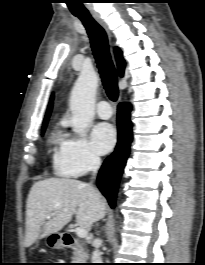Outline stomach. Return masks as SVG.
I'll return each mask as SVG.
<instances>
[{
  "label": "stomach",
  "instance_id": "obj_1",
  "mask_svg": "<svg viewBox=\"0 0 205 265\" xmlns=\"http://www.w3.org/2000/svg\"><path fill=\"white\" fill-rule=\"evenodd\" d=\"M46 245L51 249H61L64 247L61 233H51L46 236Z\"/></svg>",
  "mask_w": 205,
  "mask_h": 265
}]
</instances>
